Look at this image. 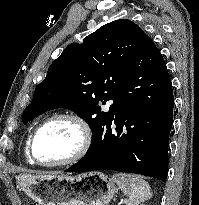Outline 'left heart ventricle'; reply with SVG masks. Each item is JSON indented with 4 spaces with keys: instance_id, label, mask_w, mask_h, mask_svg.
Returning <instances> with one entry per match:
<instances>
[{
    "instance_id": "1",
    "label": "left heart ventricle",
    "mask_w": 199,
    "mask_h": 205,
    "mask_svg": "<svg viewBox=\"0 0 199 205\" xmlns=\"http://www.w3.org/2000/svg\"><path fill=\"white\" fill-rule=\"evenodd\" d=\"M80 131L67 120L55 121L36 137L34 153L41 162H55L70 156L78 147Z\"/></svg>"
}]
</instances>
